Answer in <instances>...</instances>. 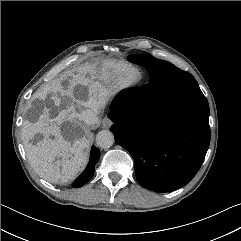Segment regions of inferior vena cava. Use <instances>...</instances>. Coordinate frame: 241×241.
Segmentation results:
<instances>
[{
  "label": "inferior vena cava",
  "mask_w": 241,
  "mask_h": 241,
  "mask_svg": "<svg viewBox=\"0 0 241 241\" xmlns=\"http://www.w3.org/2000/svg\"><path fill=\"white\" fill-rule=\"evenodd\" d=\"M99 114V109H85L81 114V120L87 125H91L95 122L97 115Z\"/></svg>",
  "instance_id": "602c4592"
}]
</instances>
